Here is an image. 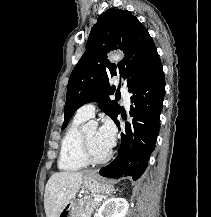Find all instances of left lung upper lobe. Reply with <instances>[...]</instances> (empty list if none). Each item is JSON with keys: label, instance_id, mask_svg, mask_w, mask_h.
<instances>
[{"label": "left lung upper lobe", "instance_id": "5c2ea615", "mask_svg": "<svg viewBox=\"0 0 211 217\" xmlns=\"http://www.w3.org/2000/svg\"><path fill=\"white\" fill-rule=\"evenodd\" d=\"M113 49L124 50L126 54L117 65L106 58ZM159 65L154 42L138 19L127 10H106L93 26L86 52L70 75L62 129L79 107L91 101H97L115 122L121 108L109 98L115 91L109 84L110 78L119 75L130 90Z\"/></svg>", "mask_w": 211, "mask_h": 217}]
</instances>
